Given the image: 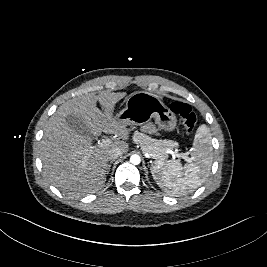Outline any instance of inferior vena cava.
Masks as SVG:
<instances>
[{
  "instance_id": "inferior-vena-cava-1",
  "label": "inferior vena cava",
  "mask_w": 267,
  "mask_h": 267,
  "mask_svg": "<svg viewBox=\"0 0 267 267\" xmlns=\"http://www.w3.org/2000/svg\"><path fill=\"white\" fill-rule=\"evenodd\" d=\"M122 151L119 148H112L108 152V159L115 160L122 155Z\"/></svg>"
}]
</instances>
